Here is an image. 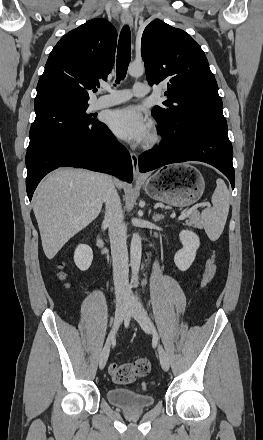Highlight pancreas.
<instances>
[{
    "label": "pancreas",
    "mask_w": 263,
    "mask_h": 440,
    "mask_svg": "<svg viewBox=\"0 0 263 440\" xmlns=\"http://www.w3.org/2000/svg\"><path fill=\"white\" fill-rule=\"evenodd\" d=\"M188 220L186 221L187 226H193L198 229H202V221L199 211L194 210L189 216Z\"/></svg>",
    "instance_id": "1"
}]
</instances>
